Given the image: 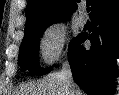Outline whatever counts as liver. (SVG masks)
I'll return each instance as SVG.
<instances>
[{
	"mask_svg": "<svg viewBox=\"0 0 119 95\" xmlns=\"http://www.w3.org/2000/svg\"><path fill=\"white\" fill-rule=\"evenodd\" d=\"M59 73L53 72L40 80L23 85L18 95H69L67 86ZM81 95H83L82 92Z\"/></svg>",
	"mask_w": 119,
	"mask_h": 95,
	"instance_id": "liver-1",
	"label": "liver"
}]
</instances>
